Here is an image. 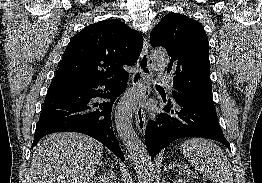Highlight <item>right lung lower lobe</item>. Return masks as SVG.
Listing matches in <instances>:
<instances>
[{
    "label": "right lung lower lobe",
    "mask_w": 262,
    "mask_h": 183,
    "mask_svg": "<svg viewBox=\"0 0 262 183\" xmlns=\"http://www.w3.org/2000/svg\"><path fill=\"white\" fill-rule=\"evenodd\" d=\"M128 76L126 72L115 78L50 85L31 148L45 135L72 131L97 139L124 161L112 128L111 110L115 99L125 90ZM97 97L109 102H98Z\"/></svg>",
    "instance_id": "98d812e1"
}]
</instances>
